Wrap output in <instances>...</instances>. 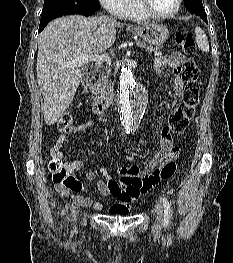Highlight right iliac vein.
<instances>
[{
  "instance_id": "right-iliac-vein-1",
  "label": "right iliac vein",
  "mask_w": 233,
  "mask_h": 263,
  "mask_svg": "<svg viewBox=\"0 0 233 263\" xmlns=\"http://www.w3.org/2000/svg\"><path fill=\"white\" fill-rule=\"evenodd\" d=\"M72 216H73L74 219H76V216H77L76 210H73Z\"/></svg>"
}]
</instances>
